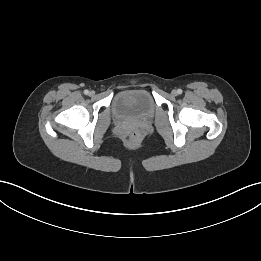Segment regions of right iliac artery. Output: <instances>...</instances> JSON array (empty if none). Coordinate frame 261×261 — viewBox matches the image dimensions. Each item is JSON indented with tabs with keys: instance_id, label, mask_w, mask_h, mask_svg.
I'll use <instances>...</instances> for the list:
<instances>
[{
	"instance_id": "right-iliac-artery-1",
	"label": "right iliac artery",
	"mask_w": 261,
	"mask_h": 261,
	"mask_svg": "<svg viewBox=\"0 0 261 261\" xmlns=\"http://www.w3.org/2000/svg\"><path fill=\"white\" fill-rule=\"evenodd\" d=\"M84 94H85V95H88V94H89V91H88V90H85V91H84Z\"/></svg>"
}]
</instances>
